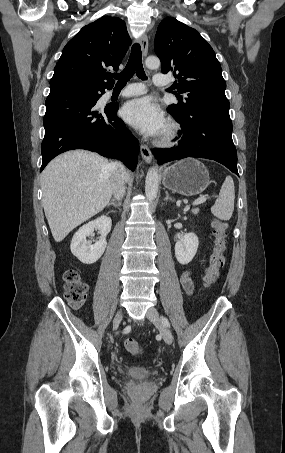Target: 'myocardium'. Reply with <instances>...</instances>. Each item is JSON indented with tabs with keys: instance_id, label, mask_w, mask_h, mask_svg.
<instances>
[{
	"instance_id": "f54148a6",
	"label": "myocardium",
	"mask_w": 285,
	"mask_h": 453,
	"mask_svg": "<svg viewBox=\"0 0 285 453\" xmlns=\"http://www.w3.org/2000/svg\"><path fill=\"white\" fill-rule=\"evenodd\" d=\"M180 134V126L175 121H167L165 128L157 140L161 146H169L176 142Z\"/></svg>"
}]
</instances>
